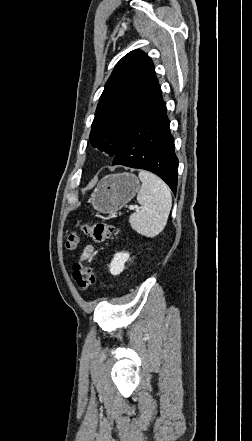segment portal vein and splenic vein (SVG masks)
Returning <instances> with one entry per match:
<instances>
[{
    "mask_svg": "<svg viewBox=\"0 0 252 441\" xmlns=\"http://www.w3.org/2000/svg\"><path fill=\"white\" fill-rule=\"evenodd\" d=\"M129 209L130 210H135V209H138V207L130 206Z\"/></svg>",
    "mask_w": 252,
    "mask_h": 441,
    "instance_id": "18ae733b",
    "label": "portal vein and splenic vein"
}]
</instances>
